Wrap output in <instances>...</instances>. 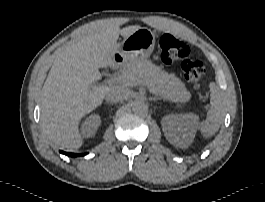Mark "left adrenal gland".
Masks as SVG:
<instances>
[{"label":"left adrenal gland","instance_id":"1","mask_svg":"<svg viewBox=\"0 0 265 202\" xmlns=\"http://www.w3.org/2000/svg\"><path fill=\"white\" fill-rule=\"evenodd\" d=\"M152 100L155 102L157 100H161V98L160 97H153Z\"/></svg>","mask_w":265,"mask_h":202}]
</instances>
